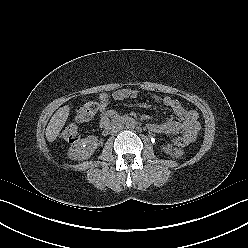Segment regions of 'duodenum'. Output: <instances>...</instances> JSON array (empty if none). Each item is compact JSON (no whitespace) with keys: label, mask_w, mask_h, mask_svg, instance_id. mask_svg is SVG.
I'll list each match as a JSON object with an SVG mask.
<instances>
[{"label":"duodenum","mask_w":248,"mask_h":248,"mask_svg":"<svg viewBox=\"0 0 248 248\" xmlns=\"http://www.w3.org/2000/svg\"><path fill=\"white\" fill-rule=\"evenodd\" d=\"M131 120L132 118L128 116H121L114 118L112 122L105 125L104 134H108L113 128H115L116 125H123L127 122H130Z\"/></svg>","instance_id":"1"}]
</instances>
